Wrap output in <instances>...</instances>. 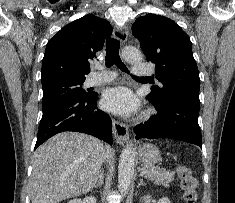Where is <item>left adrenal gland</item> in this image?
I'll list each match as a JSON object with an SVG mask.
<instances>
[{
    "mask_svg": "<svg viewBox=\"0 0 235 203\" xmlns=\"http://www.w3.org/2000/svg\"><path fill=\"white\" fill-rule=\"evenodd\" d=\"M141 185H145V183L143 182V178H140V182L138 183V187H140Z\"/></svg>",
    "mask_w": 235,
    "mask_h": 203,
    "instance_id": "obj_1",
    "label": "left adrenal gland"
}]
</instances>
